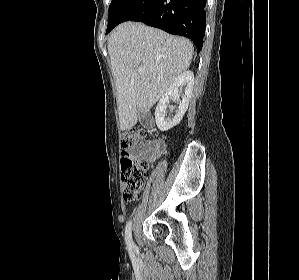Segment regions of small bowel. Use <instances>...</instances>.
Instances as JSON below:
<instances>
[{
    "instance_id": "1",
    "label": "small bowel",
    "mask_w": 299,
    "mask_h": 280,
    "mask_svg": "<svg viewBox=\"0 0 299 280\" xmlns=\"http://www.w3.org/2000/svg\"><path fill=\"white\" fill-rule=\"evenodd\" d=\"M166 150V143L162 139H156L139 147L137 152L142 157L160 156Z\"/></svg>"
}]
</instances>
